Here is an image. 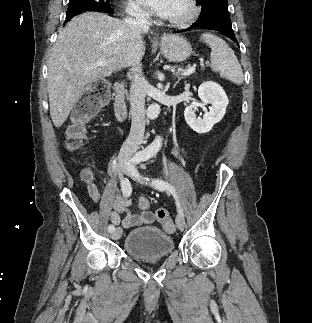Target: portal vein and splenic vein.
<instances>
[{
  "label": "portal vein and splenic vein",
  "mask_w": 312,
  "mask_h": 323,
  "mask_svg": "<svg viewBox=\"0 0 312 323\" xmlns=\"http://www.w3.org/2000/svg\"><path fill=\"white\" fill-rule=\"evenodd\" d=\"M99 66H107V62H95L91 68H99ZM195 68H188V70H185V72H177V74H174V76H190V74H194Z\"/></svg>",
  "instance_id": "portal-vein-and-splenic-vein-1"
}]
</instances>
